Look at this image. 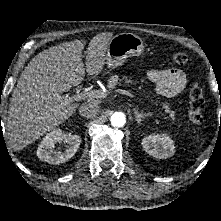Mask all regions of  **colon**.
<instances>
[{
  "label": "colon",
  "mask_w": 221,
  "mask_h": 221,
  "mask_svg": "<svg viewBox=\"0 0 221 221\" xmlns=\"http://www.w3.org/2000/svg\"><path fill=\"white\" fill-rule=\"evenodd\" d=\"M187 60V55L182 52H177L172 55V61L176 65L183 66ZM203 108L204 98L202 88L197 82H193L189 90V117L196 125H202L204 123Z\"/></svg>",
  "instance_id": "1"
}]
</instances>
